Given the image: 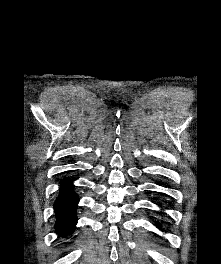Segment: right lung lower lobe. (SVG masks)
Returning <instances> with one entry per match:
<instances>
[{"instance_id": "obj_1", "label": "right lung lower lobe", "mask_w": 221, "mask_h": 264, "mask_svg": "<svg viewBox=\"0 0 221 264\" xmlns=\"http://www.w3.org/2000/svg\"><path fill=\"white\" fill-rule=\"evenodd\" d=\"M79 199L73 192L71 179H65L60 185V194L55 201L54 208L57 215L56 231L61 235L71 234L77 223L76 206Z\"/></svg>"}]
</instances>
